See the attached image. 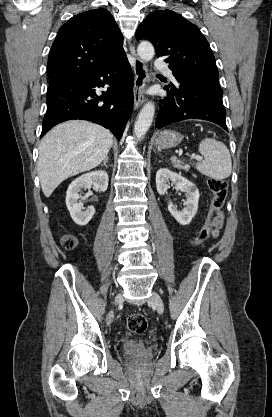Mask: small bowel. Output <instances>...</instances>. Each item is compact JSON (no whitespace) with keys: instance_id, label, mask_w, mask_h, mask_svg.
<instances>
[{"instance_id":"small-bowel-1","label":"small bowel","mask_w":272,"mask_h":417,"mask_svg":"<svg viewBox=\"0 0 272 417\" xmlns=\"http://www.w3.org/2000/svg\"><path fill=\"white\" fill-rule=\"evenodd\" d=\"M223 221H224L223 213L219 211L213 219V226H214V230L212 231L213 237L218 236L219 231L222 228Z\"/></svg>"}]
</instances>
